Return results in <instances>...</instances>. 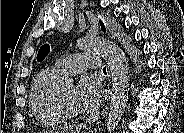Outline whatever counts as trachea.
Returning a JSON list of instances; mask_svg holds the SVG:
<instances>
[{
    "label": "trachea",
    "mask_w": 184,
    "mask_h": 133,
    "mask_svg": "<svg viewBox=\"0 0 184 133\" xmlns=\"http://www.w3.org/2000/svg\"><path fill=\"white\" fill-rule=\"evenodd\" d=\"M103 72H106V67L103 68Z\"/></svg>",
    "instance_id": "trachea-1"
}]
</instances>
